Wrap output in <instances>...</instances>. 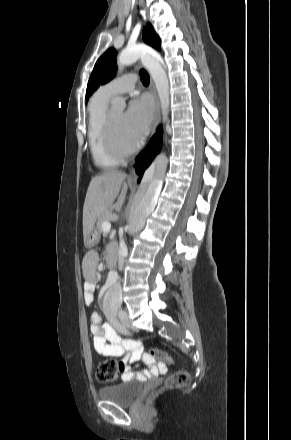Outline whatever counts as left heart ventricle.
I'll return each mask as SVG.
<instances>
[{
    "label": "left heart ventricle",
    "instance_id": "left-heart-ventricle-1",
    "mask_svg": "<svg viewBox=\"0 0 291 440\" xmlns=\"http://www.w3.org/2000/svg\"><path fill=\"white\" fill-rule=\"evenodd\" d=\"M111 120L113 125L114 137L117 144L121 147H128L135 142L128 136L123 112L111 113Z\"/></svg>",
    "mask_w": 291,
    "mask_h": 440
}]
</instances>
